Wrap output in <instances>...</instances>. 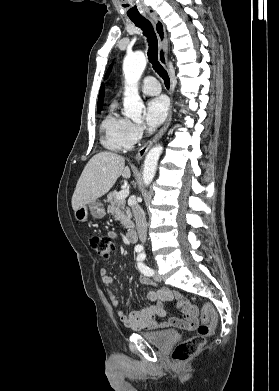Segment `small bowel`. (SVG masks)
Here are the masks:
<instances>
[{
	"label": "small bowel",
	"mask_w": 279,
	"mask_h": 391,
	"mask_svg": "<svg viewBox=\"0 0 279 391\" xmlns=\"http://www.w3.org/2000/svg\"><path fill=\"white\" fill-rule=\"evenodd\" d=\"M108 236L113 239L116 238L117 234L111 231L108 233ZM100 275L106 288V292L113 306L117 309V316L126 327L133 330H154L171 327L192 330L198 326V311L189 302V300H187L182 294L176 291H171L162 286L158 287L156 291H149L147 293L148 299L155 301L154 305L126 314L120 309L118 298L112 288V277L108 275L105 268L100 269ZM140 281L147 285L156 286L151 279L145 276H142ZM170 300L176 301L177 308L182 314L181 317H171L168 320H157L165 318L166 312L163 308L162 302Z\"/></svg>",
	"instance_id": "1"
}]
</instances>
